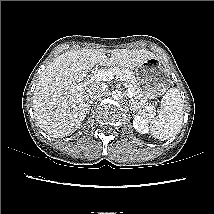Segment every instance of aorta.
<instances>
[{
    "label": "aorta",
    "mask_w": 214,
    "mask_h": 214,
    "mask_svg": "<svg viewBox=\"0 0 214 214\" xmlns=\"http://www.w3.org/2000/svg\"><path fill=\"white\" fill-rule=\"evenodd\" d=\"M112 97L114 100L119 101L123 98V93L119 90H114L112 92Z\"/></svg>",
    "instance_id": "obj_1"
}]
</instances>
